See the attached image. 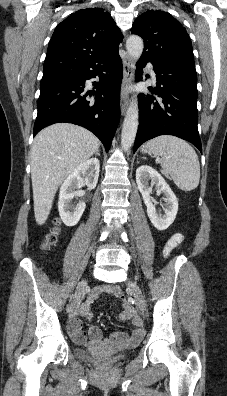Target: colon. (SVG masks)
Returning <instances> with one entry per match:
<instances>
[{
	"instance_id": "5ec220e1",
	"label": "colon",
	"mask_w": 227,
	"mask_h": 396,
	"mask_svg": "<svg viewBox=\"0 0 227 396\" xmlns=\"http://www.w3.org/2000/svg\"><path fill=\"white\" fill-rule=\"evenodd\" d=\"M57 232H58V228L56 227V228L53 230V232L50 233V234L47 236V238H46V240H45V243H44V246L49 247V246L53 245V244L56 242V239H57ZM118 297H119L120 299H124V296H123L122 293L119 294Z\"/></svg>"
}]
</instances>
